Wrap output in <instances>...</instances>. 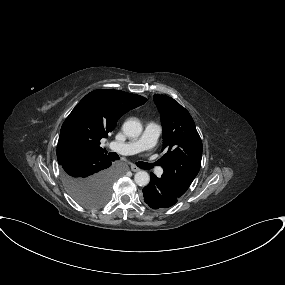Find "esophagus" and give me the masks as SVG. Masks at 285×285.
<instances>
[{"label": "esophagus", "instance_id": "obj_1", "mask_svg": "<svg viewBox=\"0 0 285 285\" xmlns=\"http://www.w3.org/2000/svg\"><path fill=\"white\" fill-rule=\"evenodd\" d=\"M131 171H133V172H138L140 169L137 167V166H135V165H131Z\"/></svg>", "mask_w": 285, "mask_h": 285}]
</instances>
